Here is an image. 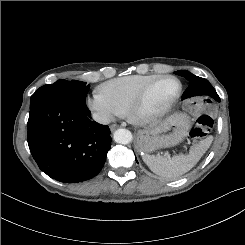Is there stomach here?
Instances as JSON below:
<instances>
[{
	"mask_svg": "<svg viewBox=\"0 0 245 245\" xmlns=\"http://www.w3.org/2000/svg\"><path fill=\"white\" fill-rule=\"evenodd\" d=\"M191 128L189 117L176 113L163 122L138 132L136 146L139 152L151 153L159 148L175 146L188 135Z\"/></svg>",
	"mask_w": 245,
	"mask_h": 245,
	"instance_id": "0dacf381",
	"label": "stomach"
}]
</instances>
